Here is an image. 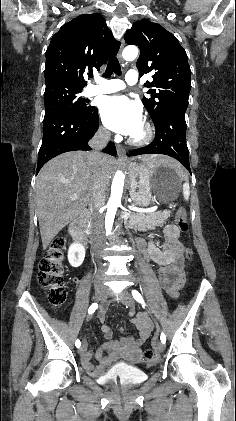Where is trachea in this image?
Wrapping results in <instances>:
<instances>
[{"mask_svg": "<svg viewBox=\"0 0 236 421\" xmlns=\"http://www.w3.org/2000/svg\"><path fill=\"white\" fill-rule=\"evenodd\" d=\"M112 73H116V75H121V66L117 58H111V60L107 64V68L103 76L105 78L111 77ZM92 78V76H91Z\"/></svg>", "mask_w": 236, "mask_h": 421, "instance_id": "trachea-1", "label": "trachea"}]
</instances>
